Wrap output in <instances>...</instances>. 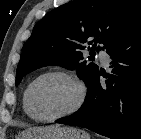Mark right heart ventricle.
<instances>
[{
	"instance_id": "1",
	"label": "right heart ventricle",
	"mask_w": 141,
	"mask_h": 139,
	"mask_svg": "<svg viewBox=\"0 0 141 139\" xmlns=\"http://www.w3.org/2000/svg\"><path fill=\"white\" fill-rule=\"evenodd\" d=\"M26 92V91H25ZM23 109H24V112L27 114V116H29L30 117V115H29V113H28V111H27V109H26V105H25V93H24V96H23ZM31 118V117H30Z\"/></svg>"
}]
</instances>
